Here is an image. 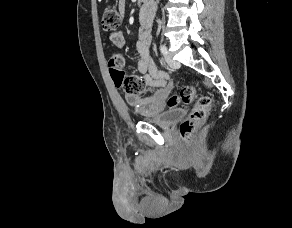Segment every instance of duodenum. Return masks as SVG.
<instances>
[{
    "mask_svg": "<svg viewBox=\"0 0 292 228\" xmlns=\"http://www.w3.org/2000/svg\"><path fill=\"white\" fill-rule=\"evenodd\" d=\"M144 6H151L153 4V0H141Z\"/></svg>",
    "mask_w": 292,
    "mask_h": 228,
    "instance_id": "1",
    "label": "duodenum"
}]
</instances>
